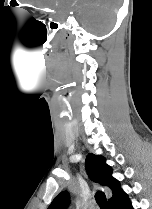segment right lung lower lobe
Wrapping results in <instances>:
<instances>
[{"instance_id":"98d812e1","label":"right lung lower lobe","mask_w":152,"mask_h":209,"mask_svg":"<svg viewBox=\"0 0 152 209\" xmlns=\"http://www.w3.org/2000/svg\"><path fill=\"white\" fill-rule=\"evenodd\" d=\"M110 209H133L127 194L120 189L110 200Z\"/></svg>"}]
</instances>
